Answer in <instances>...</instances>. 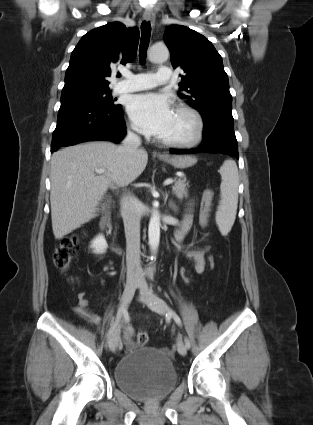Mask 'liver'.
<instances>
[{
    "label": "liver",
    "instance_id": "obj_1",
    "mask_svg": "<svg viewBox=\"0 0 313 425\" xmlns=\"http://www.w3.org/2000/svg\"><path fill=\"white\" fill-rule=\"evenodd\" d=\"M148 154L135 155L104 141L66 147L51 158V219L55 239H62L96 216L108 188L128 185L146 168ZM96 169L105 173L95 174Z\"/></svg>",
    "mask_w": 313,
    "mask_h": 425
}]
</instances>
